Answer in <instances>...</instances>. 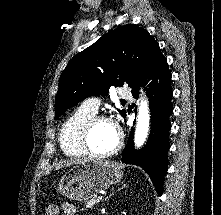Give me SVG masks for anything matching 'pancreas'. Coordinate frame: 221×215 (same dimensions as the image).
Listing matches in <instances>:
<instances>
[{
	"label": "pancreas",
	"instance_id": "cf45deb5",
	"mask_svg": "<svg viewBox=\"0 0 221 215\" xmlns=\"http://www.w3.org/2000/svg\"><path fill=\"white\" fill-rule=\"evenodd\" d=\"M99 198L97 196H94L92 199H90L87 204H86V208H92L94 207L96 204L99 203Z\"/></svg>",
	"mask_w": 221,
	"mask_h": 215
}]
</instances>
